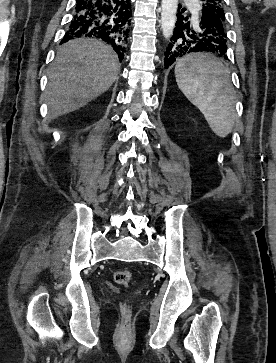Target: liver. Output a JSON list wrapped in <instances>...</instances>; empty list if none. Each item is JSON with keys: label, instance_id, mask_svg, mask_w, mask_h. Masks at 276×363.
Returning <instances> with one entry per match:
<instances>
[{"label": "liver", "instance_id": "6515ba94", "mask_svg": "<svg viewBox=\"0 0 276 363\" xmlns=\"http://www.w3.org/2000/svg\"><path fill=\"white\" fill-rule=\"evenodd\" d=\"M120 66L110 46L93 39H73L57 51L45 91L50 118L73 112L107 91Z\"/></svg>", "mask_w": 276, "mask_h": 363}]
</instances>
